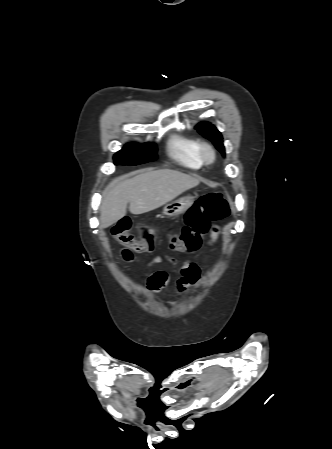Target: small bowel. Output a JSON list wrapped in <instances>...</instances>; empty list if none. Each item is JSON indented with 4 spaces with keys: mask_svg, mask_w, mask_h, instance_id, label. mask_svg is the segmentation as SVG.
Here are the masks:
<instances>
[{
    "mask_svg": "<svg viewBox=\"0 0 332 449\" xmlns=\"http://www.w3.org/2000/svg\"><path fill=\"white\" fill-rule=\"evenodd\" d=\"M216 237V233L213 232L211 235V242H213ZM163 261L176 263L172 257L168 255H161L148 262L147 266L152 267L162 263ZM179 267L181 277L176 282V290L178 293L183 294L189 287L199 281L201 278V270L193 260H186L181 263ZM146 285L150 292L157 293L170 285V279L164 270H153L146 274Z\"/></svg>",
    "mask_w": 332,
    "mask_h": 449,
    "instance_id": "obj_1",
    "label": "small bowel"
}]
</instances>
